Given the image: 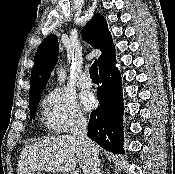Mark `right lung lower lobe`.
<instances>
[{
	"label": "right lung lower lobe",
	"instance_id": "98d812e1",
	"mask_svg": "<svg viewBox=\"0 0 175 174\" xmlns=\"http://www.w3.org/2000/svg\"><path fill=\"white\" fill-rule=\"evenodd\" d=\"M115 63L114 58L100 70V105L90 115L87 134L108 151L124 152L122 83Z\"/></svg>",
	"mask_w": 175,
	"mask_h": 174
}]
</instances>
